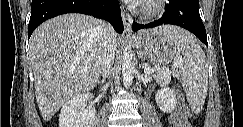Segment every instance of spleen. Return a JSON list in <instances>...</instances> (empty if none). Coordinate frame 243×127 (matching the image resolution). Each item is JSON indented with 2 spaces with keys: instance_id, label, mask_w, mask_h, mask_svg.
I'll return each mask as SVG.
<instances>
[{
  "instance_id": "obj_1",
  "label": "spleen",
  "mask_w": 243,
  "mask_h": 127,
  "mask_svg": "<svg viewBox=\"0 0 243 127\" xmlns=\"http://www.w3.org/2000/svg\"><path fill=\"white\" fill-rule=\"evenodd\" d=\"M167 34L176 48L172 74L181 81L192 110L200 112L208 90V62L205 53L195 37L185 30L172 27L167 30Z\"/></svg>"
}]
</instances>
